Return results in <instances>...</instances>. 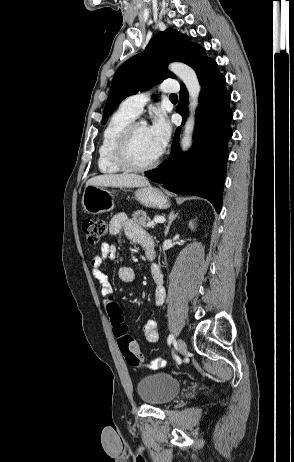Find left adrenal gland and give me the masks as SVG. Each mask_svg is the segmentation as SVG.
<instances>
[{"label":"left adrenal gland","instance_id":"obj_1","mask_svg":"<svg viewBox=\"0 0 294 462\" xmlns=\"http://www.w3.org/2000/svg\"><path fill=\"white\" fill-rule=\"evenodd\" d=\"M178 216V213H174V211H172L169 216H168V225L166 226V229H165V236L168 235L169 233V230H170V226L172 224V222L177 218Z\"/></svg>","mask_w":294,"mask_h":462}]
</instances>
